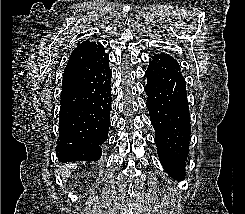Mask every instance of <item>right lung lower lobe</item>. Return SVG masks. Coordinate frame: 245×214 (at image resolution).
<instances>
[{
    "label": "right lung lower lobe",
    "mask_w": 245,
    "mask_h": 214,
    "mask_svg": "<svg viewBox=\"0 0 245 214\" xmlns=\"http://www.w3.org/2000/svg\"><path fill=\"white\" fill-rule=\"evenodd\" d=\"M78 55L70 56L64 70L56 153L60 162L97 161L107 140L111 109L109 58L97 79L82 86Z\"/></svg>",
    "instance_id": "right-lung-lower-lobe-1"
}]
</instances>
